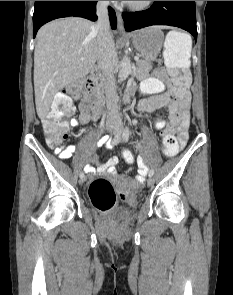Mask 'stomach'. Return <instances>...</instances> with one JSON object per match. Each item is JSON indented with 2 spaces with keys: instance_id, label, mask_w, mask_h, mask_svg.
<instances>
[{
  "instance_id": "obj_1",
  "label": "stomach",
  "mask_w": 233,
  "mask_h": 295,
  "mask_svg": "<svg viewBox=\"0 0 233 295\" xmlns=\"http://www.w3.org/2000/svg\"><path fill=\"white\" fill-rule=\"evenodd\" d=\"M131 36L135 49L146 62L156 60L164 41V33L159 27L143 28L133 32Z\"/></svg>"
}]
</instances>
